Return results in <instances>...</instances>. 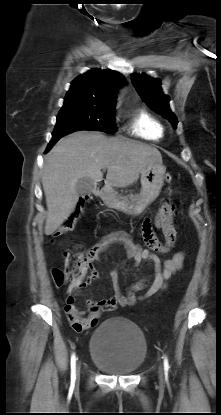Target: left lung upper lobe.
<instances>
[{
	"label": "left lung upper lobe",
	"instance_id": "5c2ea615",
	"mask_svg": "<svg viewBox=\"0 0 221 415\" xmlns=\"http://www.w3.org/2000/svg\"><path fill=\"white\" fill-rule=\"evenodd\" d=\"M131 80L146 104L168 119L176 128L178 121L169 108V97L162 92L160 80L145 74H133Z\"/></svg>",
	"mask_w": 221,
	"mask_h": 415
}]
</instances>
